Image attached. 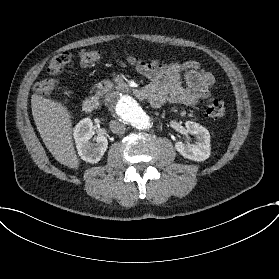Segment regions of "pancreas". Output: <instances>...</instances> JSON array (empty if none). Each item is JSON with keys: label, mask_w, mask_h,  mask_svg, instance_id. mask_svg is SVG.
I'll return each mask as SVG.
<instances>
[{"label": "pancreas", "mask_w": 279, "mask_h": 279, "mask_svg": "<svg viewBox=\"0 0 279 279\" xmlns=\"http://www.w3.org/2000/svg\"><path fill=\"white\" fill-rule=\"evenodd\" d=\"M95 87L98 88L97 94L103 95L108 93L112 89L113 83L108 80H103L102 82L96 84Z\"/></svg>", "instance_id": "obj_1"}]
</instances>
